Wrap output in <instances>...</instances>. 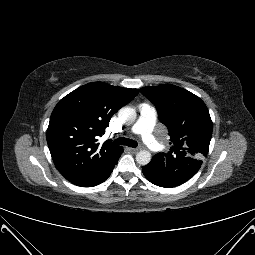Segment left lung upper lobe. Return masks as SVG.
I'll list each match as a JSON object with an SVG mask.
<instances>
[{"mask_svg": "<svg viewBox=\"0 0 255 255\" xmlns=\"http://www.w3.org/2000/svg\"><path fill=\"white\" fill-rule=\"evenodd\" d=\"M140 91L156 106L171 141L170 151L157 153L148 166L175 181H187L209 150L212 121L206 105L193 93L170 84Z\"/></svg>", "mask_w": 255, "mask_h": 255, "instance_id": "left-lung-upper-lobe-1", "label": "left lung upper lobe"}]
</instances>
